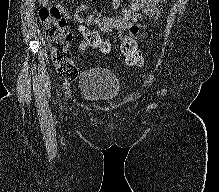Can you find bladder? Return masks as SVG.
Listing matches in <instances>:
<instances>
[{"label":"bladder","mask_w":219,"mask_h":192,"mask_svg":"<svg viewBox=\"0 0 219 192\" xmlns=\"http://www.w3.org/2000/svg\"><path fill=\"white\" fill-rule=\"evenodd\" d=\"M80 87L82 97L95 103H109L120 93V82L116 74L102 67H91L83 71Z\"/></svg>","instance_id":"bladder-1"}]
</instances>
